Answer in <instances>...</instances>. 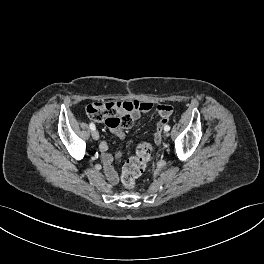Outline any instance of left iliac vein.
Instances as JSON below:
<instances>
[{"instance_id": "obj_1", "label": "left iliac vein", "mask_w": 264, "mask_h": 264, "mask_svg": "<svg viewBox=\"0 0 264 264\" xmlns=\"http://www.w3.org/2000/svg\"><path fill=\"white\" fill-rule=\"evenodd\" d=\"M165 138H170V133H168V131L165 133Z\"/></svg>"}]
</instances>
